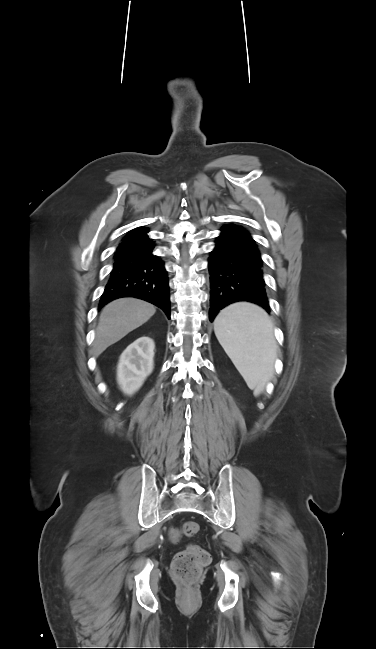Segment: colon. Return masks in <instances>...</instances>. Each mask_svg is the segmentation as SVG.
I'll list each match as a JSON object with an SVG mask.
<instances>
[{
    "mask_svg": "<svg viewBox=\"0 0 376 649\" xmlns=\"http://www.w3.org/2000/svg\"><path fill=\"white\" fill-rule=\"evenodd\" d=\"M199 531L200 526L197 522L187 521L179 529H172L171 539L177 541L180 536L193 537ZM209 562V553L201 547L191 544L174 556L171 573L176 580L184 584H192L199 579Z\"/></svg>",
    "mask_w": 376,
    "mask_h": 649,
    "instance_id": "1",
    "label": "colon"
}]
</instances>
